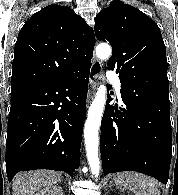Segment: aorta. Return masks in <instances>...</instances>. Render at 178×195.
Segmentation results:
<instances>
[{
	"label": "aorta",
	"mask_w": 178,
	"mask_h": 195,
	"mask_svg": "<svg viewBox=\"0 0 178 195\" xmlns=\"http://www.w3.org/2000/svg\"><path fill=\"white\" fill-rule=\"evenodd\" d=\"M112 53L111 47L101 43L96 47V55L101 60H106ZM106 86L101 84L88 111V117L84 127V139L88 163L91 172L98 177L100 172V161L98 157L99 138L98 131L106 103Z\"/></svg>",
	"instance_id": "1"
}]
</instances>
